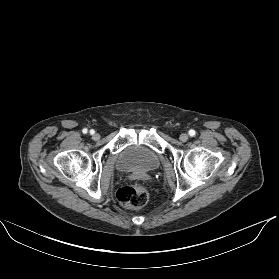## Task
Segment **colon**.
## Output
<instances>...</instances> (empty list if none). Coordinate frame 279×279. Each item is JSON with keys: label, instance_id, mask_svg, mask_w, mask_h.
<instances>
[{"label": "colon", "instance_id": "colon-1", "mask_svg": "<svg viewBox=\"0 0 279 279\" xmlns=\"http://www.w3.org/2000/svg\"><path fill=\"white\" fill-rule=\"evenodd\" d=\"M116 199L127 209H140L149 199V191L144 185H125L116 192Z\"/></svg>", "mask_w": 279, "mask_h": 279}]
</instances>
